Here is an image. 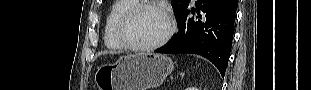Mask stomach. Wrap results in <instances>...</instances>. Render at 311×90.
<instances>
[{
    "mask_svg": "<svg viewBox=\"0 0 311 90\" xmlns=\"http://www.w3.org/2000/svg\"><path fill=\"white\" fill-rule=\"evenodd\" d=\"M172 70L168 56L142 52L99 67L95 83L98 90H148L160 86Z\"/></svg>",
    "mask_w": 311,
    "mask_h": 90,
    "instance_id": "obj_1",
    "label": "stomach"
}]
</instances>
